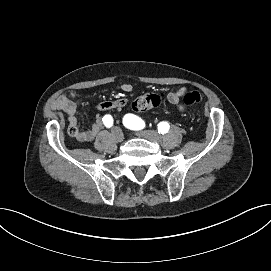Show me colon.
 <instances>
[{
  "label": "colon",
  "mask_w": 271,
  "mask_h": 271,
  "mask_svg": "<svg viewBox=\"0 0 271 271\" xmlns=\"http://www.w3.org/2000/svg\"><path fill=\"white\" fill-rule=\"evenodd\" d=\"M183 100L186 105L195 104L201 100V93L199 91L192 90L185 94ZM161 102L162 96L160 94L155 92H147L137 97L132 102L131 106L135 112H144L158 107ZM69 133L72 136H76L77 129L70 127Z\"/></svg>",
  "instance_id": "1"
}]
</instances>
